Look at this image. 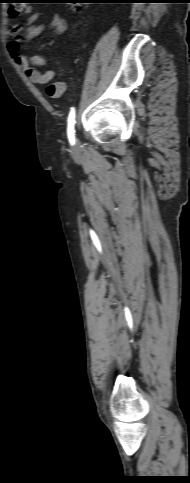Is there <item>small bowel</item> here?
<instances>
[{
  "mask_svg": "<svg viewBox=\"0 0 190 483\" xmlns=\"http://www.w3.org/2000/svg\"><path fill=\"white\" fill-rule=\"evenodd\" d=\"M40 14H34L27 20V28L24 30V38L27 41L33 40L42 34L47 26L38 23ZM49 27L57 35L63 34L67 29V23L61 17L55 15L49 24ZM23 28L19 25H14L10 29V38L7 42V51L14 62L23 70L27 78L36 85L48 84L54 77L55 73L52 70L46 72H40L34 66H44L47 61L40 55H28L24 52L27 48L26 44H22L21 33ZM65 83L62 81H56L50 83L46 92L51 98L59 97L65 90Z\"/></svg>",
  "mask_w": 190,
  "mask_h": 483,
  "instance_id": "c3829d8e",
  "label": "small bowel"
}]
</instances>
